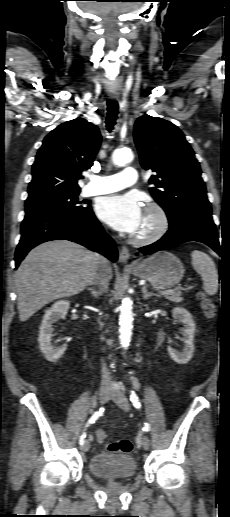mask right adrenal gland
Listing matches in <instances>:
<instances>
[{
  "label": "right adrenal gland",
  "mask_w": 230,
  "mask_h": 517,
  "mask_svg": "<svg viewBox=\"0 0 230 517\" xmlns=\"http://www.w3.org/2000/svg\"><path fill=\"white\" fill-rule=\"evenodd\" d=\"M88 291H90L91 295L94 297V298H97L100 294H101V291H96L94 288L92 287H88L87 288Z\"/></svg>",
  "instance_id": "2a0ac1e0"
}]
</instances>
